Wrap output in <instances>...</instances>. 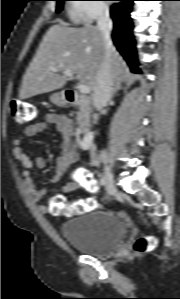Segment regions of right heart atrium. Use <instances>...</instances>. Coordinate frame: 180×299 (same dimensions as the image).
Wrapping results in <instances>:
<instances>
[{"label": "right heart atrium", "instance_id": "right-heart-atrium-1", "mask_svg": "<svg viewBox=\"0 0 180 299\" xmlns=\"http://www.w3.org/2000/svg\"><path fill=\"white\" fill-rule=\"evenodd\" d=\"M76 2L80 3L74 4L71 15L77 20L92 22L109 13V7L104 0H78Z\"/></svg>", "mask_w": 180, "mask_h": 299}]
</instances>
